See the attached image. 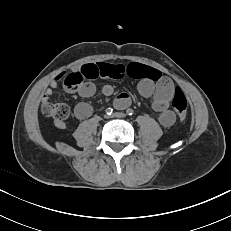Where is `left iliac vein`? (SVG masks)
<instances>
[{
	"label": "left iliac vein",
	"mask_w": 231,
	"mask_h": 231,
	"mask_svg": "<svg viewBox=\"0 0 231 231\" xmlns=\"http://www.w3.org/2000/svg\"><path fill=\"white\" fill-rule=\"evenodd\" d=\"M113 117L115 118H125L126 115L124 113H121V112H116L113 114Z\"/></svg>",
	"instance_id": "obj_1"
}]
</instances>
